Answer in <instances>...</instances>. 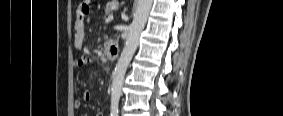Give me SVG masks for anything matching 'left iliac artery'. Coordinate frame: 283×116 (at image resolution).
Wrapping results in <instances>:
<instances>
[{
    "label": "left iliac artery",
    "instance_id": "44dca946",
    "mask_svg": "<svg viewBox=\"0 0 283 116\" xmlns=\"http://www.w3.org/2000/svg\"><path fill=\"white\" fill-rule=\"evenodd\" d=\"M119 115V105L118 102H113L111 104V116H118Z\"/></svg>",
    "mask_w": 283,
    "mask_h": 116
}]
</instances>
